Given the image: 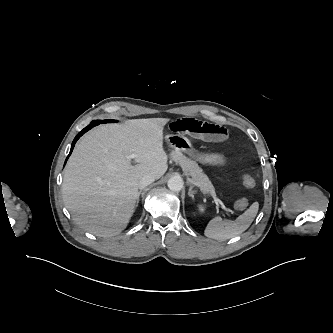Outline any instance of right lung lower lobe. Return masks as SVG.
<instances>
[{
    "label": "right lung lower lobe",
    "mask_w": 333,
    "mask_h": 333,
    "mask_svg": "<svg viewBox=\"0 0 333 333\" xmlns=\"http://www.w3.org/2000/svg\"><path fill=\"white\" fill-rule=\"evenodd\" d=\"M100 123H104V120L103 121H101V120H96V121H92L91 122V124H89L86 128H84L82 131H80L78 134H77V136L75 137V139H74V141L72 142V145H71V150H70V154H71V152H72V150H73V148H74V145H75V143H76V141L85 133V132H87L88 130H90L91 128H93L94 126H96V125H98V124H100ZM69 154V155H70ZM69 155H68V157H69ZM67 157V158H68ZM67 160V159H66Z\"/></svg>",
    "instance_id": "1"
}]
</instances>
